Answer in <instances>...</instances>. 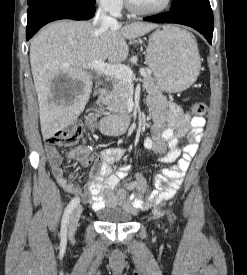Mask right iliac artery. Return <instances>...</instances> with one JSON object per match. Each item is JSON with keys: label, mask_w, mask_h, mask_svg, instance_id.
<instances>
[{"label": "right iliac artery", "mask_w": 247, "mask_h": 275, "mask_svg": "<svg viewBox=\"0 0 247 275\" xmlns=\"http://www.w3.org/2000/svg\"><path fill=\"white\" fill-rule=\"evenodd\" d=\"M80 203V198L79 197H74L69 204L67 205L65 212L62 217V222H61V235L66 236L67 232V226L69 222V216L73 209Z\"/></svg>", "instance_id": "82829eb1"}]
</instances>
